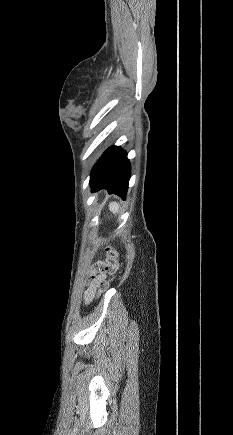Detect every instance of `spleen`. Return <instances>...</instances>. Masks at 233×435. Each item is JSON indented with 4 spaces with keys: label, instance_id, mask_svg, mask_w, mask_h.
Masks as SVG:
<instances>
[{
    "label": "spleen",
    "instance_id": "spleen-1",
    "mask_svg": "<svg viewBox=\"0 0 233 435\" xmlns=\"http://www.w3.org/2000/svg\"><path fill=\"white\" fill-rule=\"evenodd\" d=\"M109 210L113 213V214H117L119 212V205L116 202H111L109 204Z\"/></svg>",
    "mask_w": 233,
    "mask_h": 435
}]
</instances>
